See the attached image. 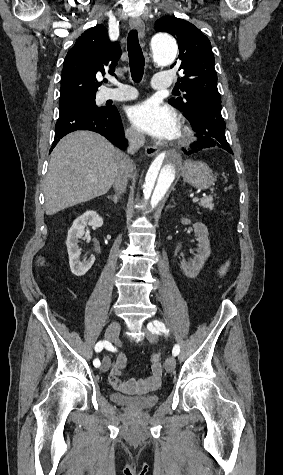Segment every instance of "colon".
<instances>
[{"label": "colon", "instance_id": "5ec220e1", "mask_svg": "<svg viewBox=\"0 0 283 475\" xmlns=\"http://www.w3.org/2000/svg\"><path fill=\"white\" fill-rule=\"evenodd\" d=\"M41 263H44V261H41ZM160 363H161L160 353L158 352L153 353L150 358L151 369L153 370V372H155V370L158 368Z\"/></svg>", "mask_w": 283, "mask_h": 475}]
</instances>
